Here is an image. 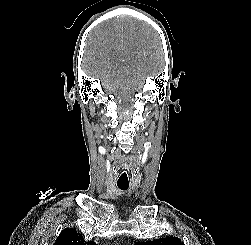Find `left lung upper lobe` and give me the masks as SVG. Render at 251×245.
Listing matches in <instances>:
<instances>
[{"instance_id": "5c2ea615", "label": "left lung upper lobe", "mask_w": 251, "mask_h": 245, "mask_svg": "<svg viewBox=\"0 0 251 245\" xmlns=\"http://www.w3.org/2000/svg\"><path fill=\"white\" fill-rule=\"evenodd\" d=\"M135 245H184L177 237H164L154 241L137 242Z\"/></svg>"}]
</instances>
